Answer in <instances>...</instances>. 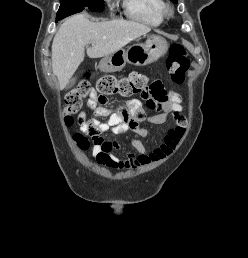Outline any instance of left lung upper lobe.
Here are the masks:
<instances>
[{
  "mask_svg": "<svg viewBox=\"0 0 248 258\" xmlns=\"http://www.w3.org/2000/svg\"><path fill=\"white\" fill-rule=\"evenodd\" d=\"M172 2H174V3H177V0H171Z\"/></svg>",
  "mask_w": 248,
  "mask_h": 258,
  "instance_id": "5c2ea615",
  "label": "left lung upper lobe"
}]
</instances>
